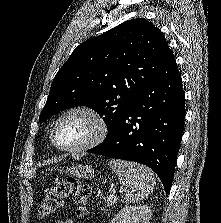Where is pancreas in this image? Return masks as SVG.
<instances>
[{
    "label": "pancreas",
    "instance_id": "obj_1",
    "mask_svg": "<svg viewBox=\"0 0 221 223\" xmlns=\"http://www.w3.org/2000/svg\"><path fill=\"white\" fill-rule=\"evenodd\" d=\"M116 200H117V197L114 194L104 198V201L106 203V207L114 205ZM101 210L104 211V212L106 211V209H101Z\"/></svg>",
    "mask_w": 221,
    "mask_h": 223
}]
</instances>
